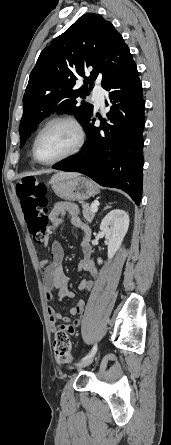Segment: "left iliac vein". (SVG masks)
<instances>
[{
  "label": "left iliac vein",
  "instance_id": "4c4485c4",
  "mask_svg": "<svg viewBox=\"0 0 171 445\" xmlns=\"http://www.w3.org/2000/svg\"><path fill=\"white\" fill-rule=\"evenodd\" d=\"M95 355H96V353H95L94 355L88 357V358L85 359L84 361L80 362V363L77 365V369H82V368H84V367L90 365V364L93 362V360H94V358H95Z\"/></svg>",
  "mask_w": 171,
  "mask_h": 445
}]
</instances>
